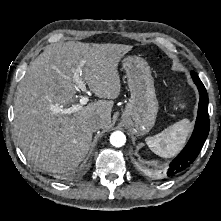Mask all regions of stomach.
I'll return each mask as SVG.
<instances>
[{"instance_id": "obj_1", "label": "stomach", "mask_w": 221, "mask_h": 221, "mask_svg": "<svg viewBox=\"0 0 221 221\" xmlns=\"http://www.w3.org/2000/svg\"><path fill=\"white\" fill-rule=\"evenodd\" d=\"M123 68L131 93L123 118L133 123L137 135H143L154 126L159 109L154 80L147 61L141 57L124 58Z\"/></svg>"}]
</instances>
